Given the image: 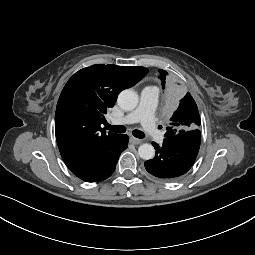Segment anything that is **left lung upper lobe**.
I'll list each match as a JSON object with an SVG mask.
<instances>
[{"label": "left lung upper lobe", "instance_id": "left-lung-upper-lobe-1", "mask_svg": "<svg viewBox=\"0 0 255 255\" xmlns=\"http://www.w3.org/2000/svg\"><path fill=\"white\" fill-rule=\"evenodd\" d=\"M159 73V78L162 81V87L164 89L169 86L168 73L162 69H159ZM172 90L177 92L174 86ZM179 98L180 100L178 101ZM169 115L170 123L166 128L165 138L198 129L201 123L197 105L190 93H186L183 97L177 95Z\"/></svg>", "mask_w": 255, "mask_h": 255}]
</instances>
